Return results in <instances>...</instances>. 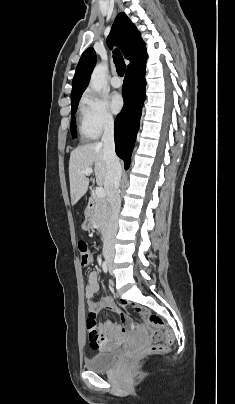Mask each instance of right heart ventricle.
<instances>
[{
    "label": "right heart ventricle",
    "mask_w": 235,
    "mask_h": 404,
    "mask_svg": "<svg viewBox=\"0 0 235 404\" xmlns=\"http://www.w3.org/2000/svg\"><path fill=\"white\" fill-rule=\"evenodd\" d=\"M79 133L84 139H94L97 135L92 131L87 117L83 110L81 109L80 116H79Z\"/></svg>",
    "instance_id": "1"
}]
</instances>
